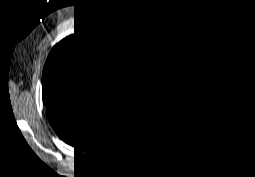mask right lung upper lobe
<instances>
[{
  "mask_svg": "<svg viewBox=\"0 0 255 177\" xmlns=\"http://www.w3.org/2000/svg\"><path fill=\"white\" fill-rule=\"evenodd\" d=\"M136 38V33L80 31L58 42L47 58L42 76L47 112L59 105L102 96L92 86L98 79L97 67L105 72L112 53Z\"/></svg>",
  "mask_w": 255,
  "mask_h": 177,
  "instance_id": "right-lung-upper-lobe-1",
  "label": "right lung upper lobe"
}]
</instances>
